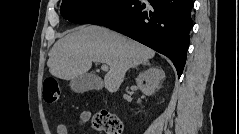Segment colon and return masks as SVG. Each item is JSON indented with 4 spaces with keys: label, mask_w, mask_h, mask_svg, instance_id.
Instances as JSON below:
<instances>
[{
    "label": "colon",
    "mask_w": 239,
    "mask_h": 134,
    "mask_svg": "<svg viewBox=\"0 0 239 134\" xmlns=\"http://www.w3.org/2000/svg\"><path fill=\"white\" fill-rule=\"evenodd\" d=\"M43 98L49 104H61V90L55 78L48 77L43 84ZM93 127L105 134H121L123 124L121 120L108 111H101L92 118Z\"/></svg>",
    "instance_id": "obj_1"
}]
</instances>
